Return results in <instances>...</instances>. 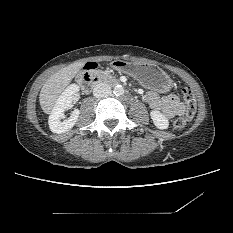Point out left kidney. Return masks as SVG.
Segmentation results:
<instances>
[{
	"label": "left kidney",
	"instance_id": "5707ae66",
	"mask_svg": "<svg viewBox=\"0 0 233 233\" xmlns=\"http://www.w3.org/2000/svg\"><path fill=\"white\" fill-rule=\"evenodd\" d=\"M154 125L161 130L167 129L169 126L168 119L159 111L150 112Z\"/></svg>",
	"mask_w": 233,
	"mask_h": 233
}]
</instances>
